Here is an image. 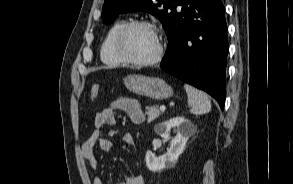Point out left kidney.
I'll use <instances>...</instances> for the list:
<instances>
[{"instance_id":"left-kidney-1","label":"left kidney","mask_w":293,"mask_h":184,"mask_svg":"<svg viewBox=\"0 0 293 184\" xmlns=\"http://www.w3.org/2000/svg\"><path fill=\"white\" fill-rule=\"evenodd\" d=\"M157 129L159 135L165 139H169L171 129H173L175 136L170 142V148L164 155L156 157L151 151L146 152V166L152 172L175 166L179 156L185 149L189 137L196 130L195 126L183 116H177L165 121L159 124Z\"/></svg>"}]
</instances>
